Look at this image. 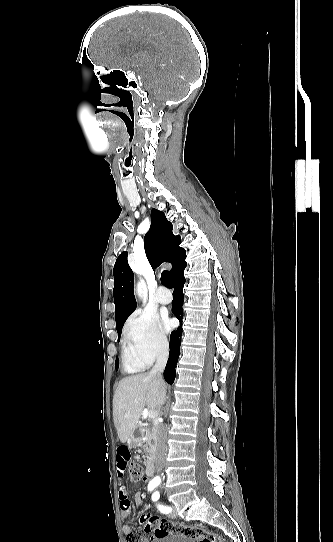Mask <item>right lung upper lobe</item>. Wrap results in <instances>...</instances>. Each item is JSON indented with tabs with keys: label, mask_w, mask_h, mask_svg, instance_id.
Returning <instances> with one entry per match:
<instances>
[{
	"label": "right lung upper lobe",
	"mask_w": 333,
	"mask_h": 542,
	"mask_svg": "<svg viewBox=\"0 0 333 542\" xmlns=\"http://www.w3.org/2000/svg\"><path fill=\"white\" fill-rule=\"evenodd\" d=\"M172 223L164 213L156 209L151 211V227L144 238L145 253L153 268L162 262L173 263L183 250L179 247L180 236L173 235ZM127 252H122L114 265V302L116 329L135 310L136 300L133 293L134 274L127 262Z\"/></svg>",
	"instance_id": "cb5924a9"
}]
</instances>
